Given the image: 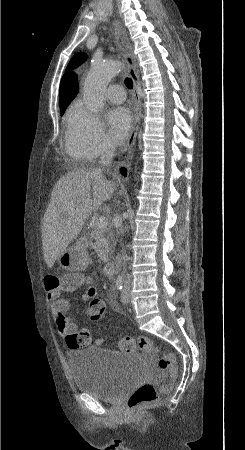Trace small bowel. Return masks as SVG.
Masks as SVG:
<instances>
[{"mask_svg":"<svg viewBox=\"0 0 245 450\" xmlns=\"http://www.w3.org/2000/svg\"><path fill=\"white\" fill-rule=\"evenodd\" d=\"M50 278H52V276H50ZM82 287L84 288V291L81 295V299L84 302H88L96 297L98 293L97 288L91 285L84 286L83 282L76 287L70 288L69 290H76ZM46 295L50 303L51 317L56 328L58 329L59 334L65 338L69 347L74 348L68 338L70 334L77 330V325L70 320L68 315L70 303L66 299L60 297V291L58 290H49L46 292ZM95 344L102 345L103 339L95 340Z\"/></svg>","mask_w":245,"mask_h":450,"instance_id":"obj_1","label":"small bowel"}]
</instances>
